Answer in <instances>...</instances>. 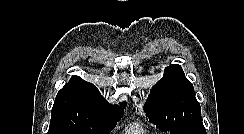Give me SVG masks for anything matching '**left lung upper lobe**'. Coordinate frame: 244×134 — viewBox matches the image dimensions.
Listing matches in <instances>:
<instances>
[{"label":"left lung upper lobe","instance_id":"5c2ea615","mask_svg":"<svg viewBox=\"0 0 244 134\" xmlns=\"http://www.w3.org/2000/svg\"><path fill=\"white\" fill-rule=\"evenodd\" d=\"M146 116L171 134H206L194 87L180 65H170L151 89L144 106Z\"/></svg>","mask_w":244,"mask_h":134}]
</instances>
